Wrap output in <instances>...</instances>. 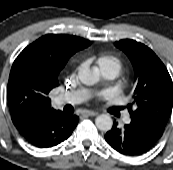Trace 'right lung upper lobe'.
I'll return each instance as SVG.
<instances>
[{"label": "right lung upper lobe", "mask_w": 173, "mask_h": 170, "mask_svg": "<svg viewBox=\"0 0 173 170\" xmlns=\"http://www.w3.org/2000/svg\"><path fill=\"white\" fill-rule=\"evenodd\" d=\"M90 44V41L76 36L49 34L18 55L12 65L7 87L14 124L56 111L51 107L49 92L58 86V75L68 59Z\"/></svg>", "instance_id": "right-lung-upper-lobe-1"}]
</instances>
